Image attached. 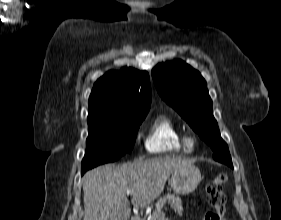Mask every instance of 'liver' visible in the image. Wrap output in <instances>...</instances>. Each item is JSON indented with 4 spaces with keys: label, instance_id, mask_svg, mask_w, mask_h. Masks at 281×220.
Instances as JSON below:
<instances>
[{
    "label": "liver",
    "instance_id": "6515ba94",
    "mask_svg": "<svg viewBox=\"0 0 281 220\" xmlns=\"http://www.w3.org/2000/svg\"><path fill=\"white\" fill-rule=\"evenodd\" d=\"M193 163L192 159L165 156L121 166L106 164L88 171L83 177V220H128L127 190L134 192V208H143L160 196L174 171Z\"/></svg>",
    "mask_w": 281,
    "mask_h": 220
}]
</instances>
